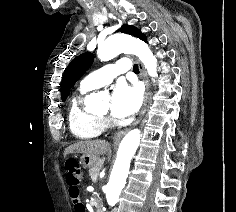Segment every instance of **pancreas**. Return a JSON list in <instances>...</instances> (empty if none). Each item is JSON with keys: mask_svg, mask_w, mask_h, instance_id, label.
<instances>
[{"mask_svg": "<svg viewBox=\"0 0 236 212\" xmlns=\"http://www.w3.org/2000/svg\"><path fill=\"white\" fill-rule=\"evenodd\" d=\"M102 167V164L97 162L90 170H89V175L92 179L93 182L97 180L98 173Z\"/></svg>", "mask_w": 236, "mask_h": 212, "instance_id": "obj_1", "label": "pancreas"}]
</instances>
